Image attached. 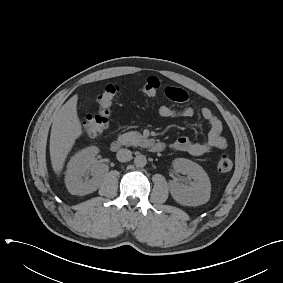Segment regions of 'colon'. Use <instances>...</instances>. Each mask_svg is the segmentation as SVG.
I'll use <instances>...</instances> for the list:
<instances>
[{
  "mask_svg": "<svg viewBox=\"0 0 283 283\" xmlns=\"http://www.w3.org/2000/svg\"><path fill=\"white\" fill-rule=\"evenodd\" d=\"M161 83L157 77L151 76L146 79L142 90L149 96H154L160 89ZM120 90L115 84L107 85L98 97V112L96 114H86L82 121L83 132L90 137L100 136L108 127L110 109L114 97ZM233 162L227 155L222 156L217 163V170L220 173L229 172L232 169Z\"/></svg>",
  "mask_w": 283,
  "mask_h": 283,
  "instance_id": "5ec220e1",
  "label": "colon"
}]
</instances>
